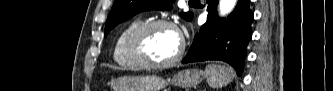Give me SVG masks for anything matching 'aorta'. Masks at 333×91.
I'll return each mask as SVG.
<instances>
[{"label":"aorta","instance_id":"aorta-1","mask_svg":"<svg viewBox=\"0 0 333 91\" xmlns=\"http://www.w3.org/2000/svg\"><path fill=\"white\" fill-rule=\"evenodd\" d=\"M237 0H220L219 11L221 16L229 14L235 7Z\"/></svg>","mask_w":333,"mask_h":91}]
</instances>
